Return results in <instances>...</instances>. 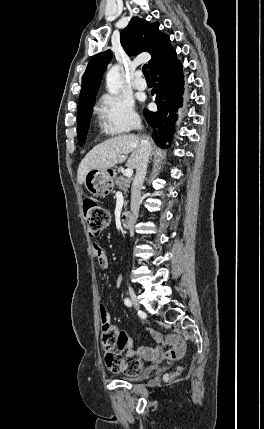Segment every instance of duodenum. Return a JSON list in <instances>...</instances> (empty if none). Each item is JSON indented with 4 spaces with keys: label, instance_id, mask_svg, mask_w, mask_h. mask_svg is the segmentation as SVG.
I'll return each instance as SVG.
<instances>
[{
    "label": "duodenum",
    "instance_id": "obj_1",
    "mask_svg": "<svg viewBox=\"0 0 264 429\" xmlns=\"http://www.w3.org/2000/svg\"><path fill=\"white\" fill-rule=\"evenodd\" d=\"M132 217H133L132 212L123 211L121 216H120V220H121L122 225L126 228L130 227L131 226L130 222L132 221Z\"/></svg>",
    "mask_w": 264,
    "mask_h": 429
}]
</instances>
